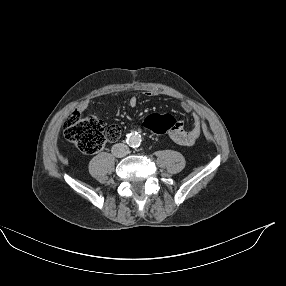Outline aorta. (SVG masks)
<instances>
[{
	"instance_id": "1",
	"label": "aorta",
	"mask_w": 286,
	"mask_h": 286,
	"mask_svg": "<svg viewBox=\"0 0 286 286\" xmlns=\"http://www.w3.org/2000/svg\"><path fill=\"white\" fill-rule=\"evenodd\" d=\"M141 135L137 132H132L127 135L126 142L130 147H138L141 144Z\"/></svg>"
}]
</instances>
